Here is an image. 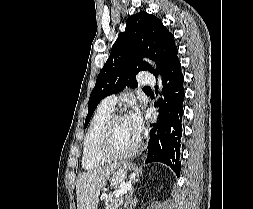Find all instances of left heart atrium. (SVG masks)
<instances>
[{
  "mask_svg": "<svg viewBox=\"0 0 253 209\" xmlns=\"http://www.w3.org/2000/svg\"><path fill=\"white\" fill-rule=\"evenodd\" d=\"M127 121L130 124L133 132L135 135L139 136L141 130H142V118L137 109L132 110L128 115H127Z\"/></svg>",
  "mask_w": 253,
  "mask_h": 209,
  "instance_id": "39dd6f15",
  "label": "left heart atrium"
}]
</instances>
